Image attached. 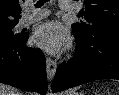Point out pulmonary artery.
<instances>
[{"label": "pulmonary artery", "mask_w": 119, "mask_h": 95, "mask_svg": "<svg viewBox=\"0 0 119 95\" xmlns=\"http://www.w3.org/2000/svg\"><path fill=\"white\" fill-rule=\"evenodd\" d=\"M60 8L63 11H70L73 9V5L66 0H62L59 3ZM48 15L47 10H38V11H33L32 9H29L27 13L22 17L20 21L21 26H26L29 25L35 21H38Z\"/></svg>", "instance_id": "obj_1"}]
</instances>
